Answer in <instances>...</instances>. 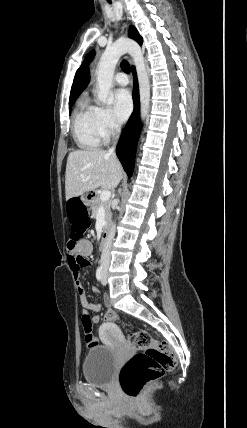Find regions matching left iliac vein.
I'll return each instance as SVG.
<instances>
[{
	"label": "left iliac vein",
	"instance_id": "4c4485c4",
	"mask_svg": "<svg viewBox=\"0 0 247 428\" xmlns=\"http://www.w3.org/2000/svg\"><path fill=\"white\" fill-rule=\"evenodd\" d=\"M102 284L106 285V273L104 272L103 278H102Z\"/></svg>",
	"mask_w": 247,
	"mask_h": 428
}]
</instances>
